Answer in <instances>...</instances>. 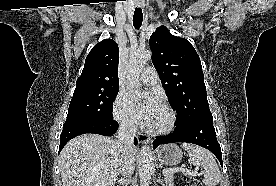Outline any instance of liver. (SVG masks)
Wrapping results in <instances>:
<instances>
[{"mask_svg":"<svg viewBox=\"0 0 276 186\" xmlns=\"http://www.w3.org/2000/svg\"><path fill=\"white\" fill-rule=\"evenodd\" d=\"M131 155L135 160L134 148ZM120 168L121 154L116 141L97 134L73 138L59 156L63 186H114Z\"/></svg>","mask_w":276,"mask_h":186,"instance_id":"obj_1","label":"liver"}]
</instances>
